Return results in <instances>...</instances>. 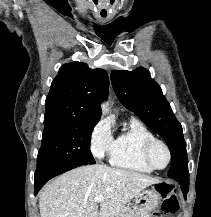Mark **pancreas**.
<instances>
[{"mask_svg":"<svg viewBox=\"0 0 211 217\" xmlns=\"http://www.w3.org/2000/svg\"><path fill=\"white\" fill-rule=\"evenodd\" d=\"M115 217H133V209L131 207H124Z\"/></svg>","mask_w":211,"mask_h":217,"instance_id":"pancreas-1","label":"pancreas"}]
</instances>
